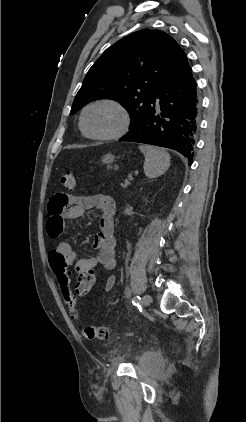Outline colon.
<instances>
[{"instance_id":"colon-1","label":"colon","mask_w":246,"mask_h":422,"mask_svg":"<svg viewBox=\"0 0 246 422\" xmlns=\"http://www.w3.org/2000/svg\"><path fill=\"white\" fill-rule=\"evenodd\" d=\"M60 183L67 190L75 189L76 178L74 173L70 171L63 173L60 178ZM49 263L57 276L71 318L79 319L81 316L80 299L90 292L95 283L96 274L94 269H89L78 274L74 292H72L69 288V278L67 274L69 264L65 256L56 249H52L49 252ZM83 333L88 339H107L110 335L109 328L106 326H87Z\"/></svg>"}]
</instances>
